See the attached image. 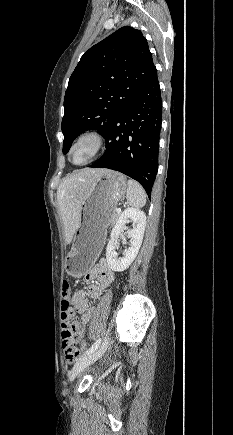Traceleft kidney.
Here are the masks:
<instances>
[{
	"instance_id": "1",
	"label": "left kidney",
	"mask_w": 233,
	"mask_h": 435,
	"mask_svg": "<svg viewBox=\"0 0 233 435\" xmlns=\"http://www.w3.org/2000/svg\"><path fill=\"white\" fill-rule=\"evenodd\" d=\"M133 222V229L127 232L130 238V246L123 251V257H118L116 248L118 238L124 232L125 224ZM146 226V215L143 211L136 208H126L117 220L111 232V239L106 248V259L109 267L113 271L121 272L126 270L136 258L142 244Z\"/></svg>"
}]
</instances>
